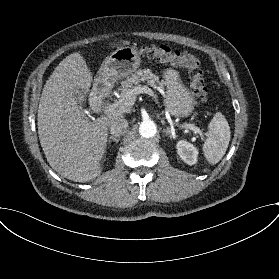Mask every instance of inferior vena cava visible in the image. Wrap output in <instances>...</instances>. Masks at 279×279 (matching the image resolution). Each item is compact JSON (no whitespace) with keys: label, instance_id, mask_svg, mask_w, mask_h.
<instances>
[{"label":"inferior vena cava","instance_id":"602c4592","mask_svg":"<svg viewBox=\"0 0 279 279\" xmlns=\"http://www.w3.org/2000/svg\"><path fill=\"white\" fill-rule=\"evenodd\" d=\"M128 126V121L123 116L117 115L109 126V130L112 136L120 137L127 132Z\"/></svg>","mask_w":279,"mask_h":279}]
</instances>
